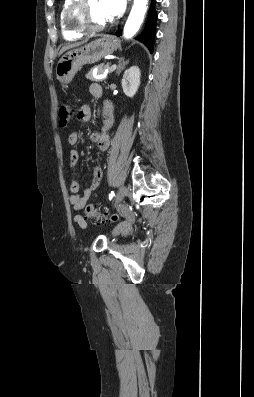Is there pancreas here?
I'll use <instances>...</instances> for the list:
<instances>
[{"mask_svg": "<svg viewBox=\"0 0 254 397\" xmlns=\"http://www.w3.org/2000/svg\"><path fill=\"white\" fill-rule=\"evenodd\" d=\"M96 69H97V75L104 73V71H105L106 69L109 70V74L111 73V70H110V69H111V66H110L109 63H107L106 65H103V64L98 65V66L96 67ZM86 78L89 79L90 81L98 82V81H100V80L106 79L107 77L104 78V79H98V78L93 74V70L91 69V70L86 74Z\"/></svg>", "mask_w": 254, "mask_h": 397, "instance_id": "obj_1", "label": "pancreas"}]
</instances>
